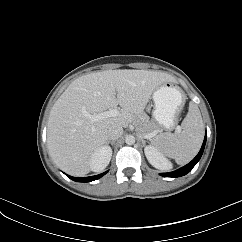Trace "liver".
Instances as JSON below:
<instances>
[{"label":"liver","instance_id":"6515ba94","mask_svg":"<svg viewBox=\"0 0 242 242\" xmlns=\"http://www.w3.org/2000/svg\"><path fill=\"white\" fill-rule=\"evenodd\" d=\"M174 77L159 71L106 70L74 80L53 105L47 129V145L54 162L66 173L84 176L92 154L107 144L111 126L128 127L138 120L153 92ZM121 106L117 117L96 122L95 115Z\"/></svg>","mask_w":242,"mask_h":242}]
</instances>
